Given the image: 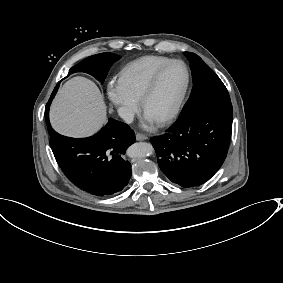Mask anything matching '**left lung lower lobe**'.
<instances>
[{
	"mask_svg": "<svg viewBox=\"0 0 283 283\" xmlns=\"http://www.w3.org/2000/svg\"><path fill=\"white\" fill-rule=\"evenodd\" d=\"M231 102L205 104L151 138L158 165L170 181L193 187L209 180L223 164L231 138Z\"/></svg>",
	"mask_w": 283,
	"mask_h": 283,
	"instance_id": "obj_1",
	"label": "left lung lower lobe"
}]
</instances>
